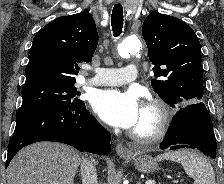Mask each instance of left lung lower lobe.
Segmentation results:
<instances>
[{
  "label": "left lung lower lobe",
  "instance_id": "0a47b994",
  "mask_svg": "<svg viewBox=\"0 0 224 184\" xmlns=\"http://www.w3.org/2000/svg\"><path fill=\"white\" fill-rule=\"evenodd\" d=\"M161 149L197 148L216 157V140L210 115L203 102L188 104L175 115Z\"/></svg>",
  "mask_w": 224,
  "mask_h": 184
}]
</instances>
